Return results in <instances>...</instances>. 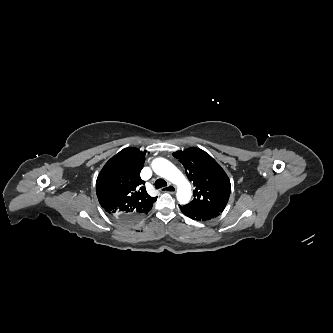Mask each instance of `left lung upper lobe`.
<instances>
[{"instance_id": "left-lung-upper-lobe-1", "label": "left lung upper lobe", "mask_w": 333, "mask_h": 333, "mask_svg": "<svg viewBox=\"0 0 333 333\" xmlns=\"http://www.w3.org/2000/svg\"><path fill=\"white\" fill-rule=\"evenodd\" d=\"M173 155L183 164L195 186L194 199L184 206L199 212L221 213L231 191L230 180L221 166L199 148L191 147Z\"/></svg>"}]
</instances>
